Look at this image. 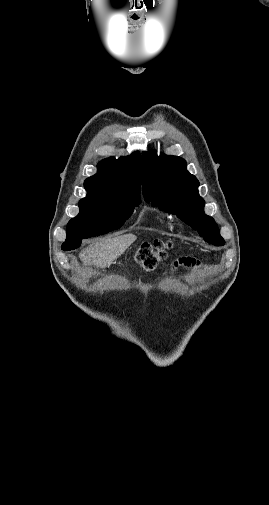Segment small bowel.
<instances>
[{"instance_id": "small-bowel-1", "label": "small bowel", "mask_w": 269, "mask_h": 505, "mask_svg": "<svg viewBox=\"0 0 269 505\" xmlns=\"http://www.w3.org/2000/svg\"><path fill=\"white\" fill-rule=\"evenodd\" d=\"M177 265H178V267H180L182 269L192 270L195 267V262L192 259H186V260H182V261L178 262Z\"/></svg>"}]
</instances>
